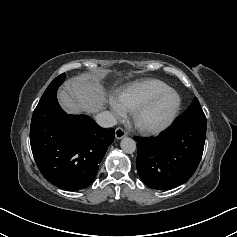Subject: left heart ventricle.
Here are the masks:
<instances>
[{
	"label": "left heart ventricle",
	"mask_w": 237,
	"mask_h": 237,
	"mask_svg": "<svg viewBox=\"0 0 237 237\" xmlns=\"http://www.w3.org/2000/svg\"><path fill=\"white\" fill-rule=\"evenodd\" d=\"M174 104V96L170 95L162 98L143 115L142 120L149 124L158 123L168 115Z\"/></svg>",
	"instance_id": "1"
}]
</instances>
